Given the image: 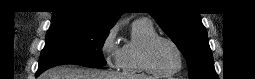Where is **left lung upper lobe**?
<instances>
[{
	"label": "left lung upper lobe",
	"mask_w": 255,
	"mask_h": 79,
	"mask_svg": "<svg viewBox=\"0 0 255 79\" xmlns=\"http://www.w3.org/2000/svg\"><path fill=\"white\" fill-rule=\"evenodd\" d=\"M150 14L177 45L189 65L191 79H217L207 32L199 13L175 10L173 1H152Z\"/></svg>",
	"instance_id": "1"
}]
</instances>
